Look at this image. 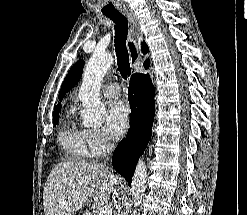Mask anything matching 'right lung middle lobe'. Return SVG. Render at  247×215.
<instances>
[{
    "mask_svg": "<svg viewBox=\"0 0 247 215\" xmlns=\"http://www.w3.org/2000/svg\"><path fill=\"white\" fill-rule=\"evenodd\" d=\"M59 113L53 114V123L54 125L58 123Z\"/></svg>",
    "mask_w": 247,
    "mask_h": 215,
    "instance_id": "dd1d6c3e",
    "label": "right lung middle lobe"
}]
</instances>
